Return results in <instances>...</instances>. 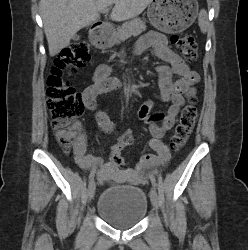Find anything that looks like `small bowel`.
<instances>
[{
  "mask_svg": "<svg viewBox=\"0 0 248 250\" xmlns=\"http://www.w3.org/2000/svg\"><path fill=\"white\" fill-rule=\"evenodd\" d=\"M134 51L136 54L151 51L155 58L166 63V65L158 66L157 72L159 74L160 97L162 100L168 101L170 105L165 112L155 111L152 100H148L141 105L139 117L149 127L152 136L149 145L157 154L144 155L134 169L126 171L119 170L112 163H104L101 157L86 154V133L81 123L76 122L74 124L76 130L74 141L76 163L90 173L97 174L98 180L102 183L113 179L139 183L149 175V171L164 167L170 162L171 153L162 138L173 128L185 103L184 95L193 96L195 93L194 85L199 80L197 72L169 48L167 37L162 33L148 32L144 34L138 40ZM110 71L108 65H99L95 72L94 82L86 87L82 93L85 107L96 112L97 124L105 133H111L114 126L107 114L97 109V97L121 86L119 80L110 77ZM172 74H177L180 78L174 81ZM126 140L131 144L133 137L129 135Z\"/></svg>",
  "mask_w": 248,
  "mask_h": 250,
  "instance_id": "c3829d8e",
  "label": "small bowel"
}]
</instances>
